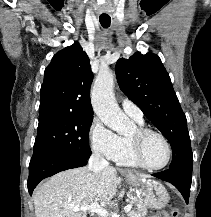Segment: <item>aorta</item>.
<instances>
[{
    "mask_svg": "<svg viewBox=\"0 0 211 217\" xmlns=\"http://www.w3.org/2000/svg\"><path fill=\"white\" fill-rule=\"evenodd\" d=\"M114 73L100 70L91 93V102L96 115L110 129L124 134L131 128V121L119 108L113 92Z\"/></svg>",
    "mask_w": 211,
    "mask_h": 217,
    "instance_id": "762f6f07",
    "label": "aorta"
}]
</instances>
